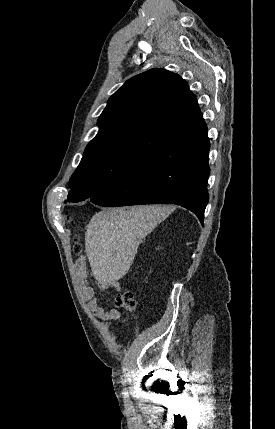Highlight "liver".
Wrapping results in <instances>:
<instances>
[{"mask_svg": "<svg viewBox=\"0 0 275 429\" xmlns=\"http://www.w3.org/2000/svg\"><path fill=\"white\" fill-rule=\"evenodd\" d=\"M170 212L168 206L114 208L96 213L85 233V252L94 278L103 286L123 278L138 246Z\"/></svg>", "mask_w": 275, "mask_h": 429, "instance_id": "1", "label": "liver"}]
</instances>
